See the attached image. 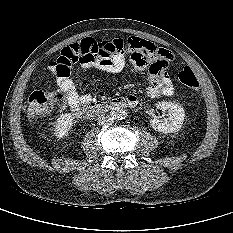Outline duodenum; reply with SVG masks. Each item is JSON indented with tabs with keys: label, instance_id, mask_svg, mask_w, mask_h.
<instances>
[{
	"label": "duodenum",
	"instance_id": "duodenum-1",
	"mask_svg": "<svg viewBox=\"0 0 233 233\" xmlns=\"http://www.w3.org/2000/svg\"><path fill=\"white\" fill-rule=\"evenodd\" d=\"M137 105V98L125 96L114 98L110 101H93L82 105L78 115L83 118H93L117 108H132Z\"/></svg>",
	"mask_w": 233,
	"mask_h": 233
}]
</instances>
